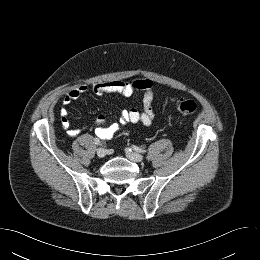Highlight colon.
<instances>
[{
    "instance_id": "5ec220e1",
    "label": "colon",
    "mask_w": 260,
    "mask_h": 260,
    "mask_svg": "<svg viewBox=\"0 0 260 260\" xmlns=\"http://www.w3.org/2000/svg\"><path fill=\"white\" fill-rule=\"evenodd\" d=\"M196 108V103L193 100L180 99L176 101V109L183 115L193 114Z\"/></svg>"
}]
</instances>
